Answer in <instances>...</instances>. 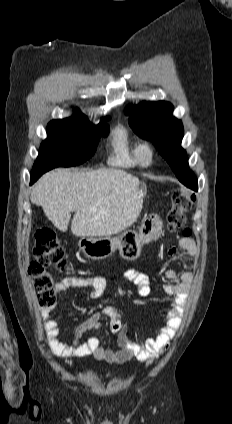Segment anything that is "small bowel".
<instances>
[{
    "mask_svg": "<svg viewBox=\"0 0 232 424\" xmlns=\"http://www.w3.org/2000/svg\"><path fill=\"white\" fill-rule=\"evenodd\" d=\"M168 254L179 257L184 265L193 266L197 256L195 243L190 238H181L177 247H170ZM125 278L137 287V294L147 297L151 294L148 276L136 269L125 272ZM165 278L170 281L164 284L162 290L170 297V309L164 313L165 325L151 338L135 342L129 339L123 330L119 311L111 306L104 305L90 316L79 322L74 330V340L67 344L58 339L59 324L49 318V311L41 313L47 334V342L51 351L64 358L93 356L95 359L107 363L121 364L132 357L140 361L150 362L157 359L171 344V341L181 325V316L185 311L191 289L193 274L189 270L180 272L168 270ZM72 288H86L92 298H99L107 290V281L102 276H68L57 284L58 291ZM107 316L110 320V330L117 336L118 349L111 350L103 347L97 337L92 336L85 342L79 343V338L88 331L100 328L101 319Z\"/></svg>",
    "mask_w": 232,
    "mask_h": 424,
    "instance_id": "c3829d8e",
    "label": "small bowel"
}]
</instances>
